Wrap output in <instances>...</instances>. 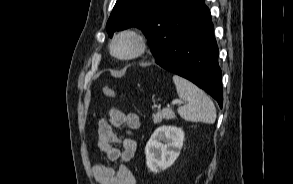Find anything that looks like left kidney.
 Returning <instances> with one entry per match:
<instances>
[{"label": "left kidney", "mask_w": 293, "mask_h": 184, "mask_svg": "<svg viewBox=\"0 0 293 184\" xmlns=\"http://www.w3.org/2000/svg\"><path fill=\"white\" fill-rule=\"evenodd\" d=\"M184 136V131L175 126L157 128L145 147L148 169L158 173L173 165L180 155Z\"/></svg>", "instance_id": "obj_1"}]
</instances>
